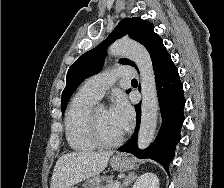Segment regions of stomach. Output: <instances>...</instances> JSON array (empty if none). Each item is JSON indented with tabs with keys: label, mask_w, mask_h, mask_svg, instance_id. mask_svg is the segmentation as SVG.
<instances>
[{
	"label": "stomach",
	"mask_w": 224,
	"mask_h": 188,
	"mask_svg": "<svg viewBox=\"0 0 224 188\" xmlns=\"http://www.w3.org/2000/svg\"><path fill=\"white\" fill-rule=\"evenodd\" d=\"M110 164L114 170L127 171L133 168L134 161L125 155H116L112 157ZM70 188H76V187L71 186Z\"/></svg>",
	"instance_id": "obj_1"
}]
</instances>
